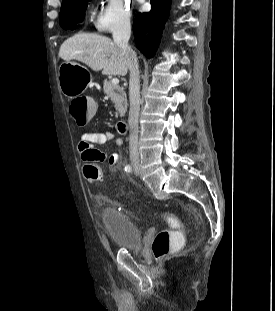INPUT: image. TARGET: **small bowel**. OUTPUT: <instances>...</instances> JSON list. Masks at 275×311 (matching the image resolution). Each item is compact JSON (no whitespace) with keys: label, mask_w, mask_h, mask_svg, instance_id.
<instances>
[{"label":"small bowel","mask_w":275,"mask_h":311,"mask_svg":"<svg viewBox=\"0 0 275 311\" xmlns=\"http://www.w3.org/2000/svg\"><path fill=\"white\" fill-rule=\"evenodd\" d=\"M112 139H114V143L117 147L123 146V140L121 138H114V134L110 131L84 132L80 134L76 143V148L81 159L85 161L86 164L95 160L107 159L110 165H116L119 162V156L116 153H112L106 157L103 149L94 148L95 145H103Z\"/></svg>","instance_id":"1"}]
</instances>
